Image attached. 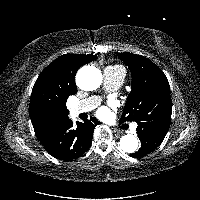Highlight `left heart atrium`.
<instances>
[{
  "label": "left heart atrium",
  "mask_w": 200,
  "mask_h": 200,
  "mask_svg": "<svg viewBox=\"0 0 200 200\" xmlns=\"http://www.w3.org/2000/svg\"><path fill=\"white\" fill-rule=\"evenodd\" d=\"M96 114L99 118L105 119V118L109 117L110 110L107 106H102L97 110Z\"/></svg>",
  "instance_id": "left-heart-atrium-1"
}]
</instances>
